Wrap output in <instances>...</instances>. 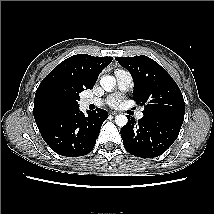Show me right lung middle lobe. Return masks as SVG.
Wrapping results in <instances>:
<instances>
[{"mask_svg":"<svg viewBox=\"0 0 214 214\" xmlns=\"http://www.w3.org/2000/svg\"><path fill=\"white\" fill-rule=\"evenodd\" d=\"M51 99L56 104L66 108L79 107L78 100H80L79 94H69L63 92H55L52 94Z\"/></svg>","mask_w":214,"mask_h":214,"instance_id":"dd1d6c3e","label":"right lung middle lobe"}]
</instances>
